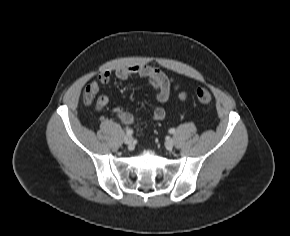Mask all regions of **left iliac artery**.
<instances>
[{"mask_svg": "<svg viewBox=\"0 0 290 236\" xmlns=\"http://www.w3.org/2000/svg\"><path fill=\"white\" fill-rule=\"evenodd\" d=\"M169 133L174 134V133H175V129H174V128H171V129L169 130Z\"/></svg>", "mask_w": 290, "mask_h": 236, "instance_id": "obj_1", "label": "left iliac artery"}]
</instances>
